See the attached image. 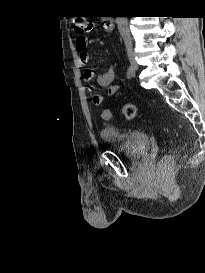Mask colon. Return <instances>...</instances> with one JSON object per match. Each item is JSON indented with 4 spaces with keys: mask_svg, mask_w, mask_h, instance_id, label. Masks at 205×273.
Here are the masks:
<instances>
[{
    "mask_svg": "<svg viewBox=\"0 0 205 273\" xmlns=\"http://www.w3.org/2000/svg\"><path fill=\"white\" fill-rule=\"evenodd\" d=\"M92 29V23L87 21L86 19L83 18H76L74 21V30L77 33H84L88 32ZM137 109L136 106L132 103H126L123 108H122V114L123 116L128 119L132 120L136 117ZM102 116L105 120H110L112 118L111 111L109 109L103 110ZM170 164H171V159L170 157H167L165 162L160 167V171L165 173L170 170Z\"/></svg>",
    "mask_w": 205,
    "mask_h": 273,
    "instance_id": "colon-1",
    "label": "colon"
}]
</instances>
